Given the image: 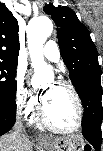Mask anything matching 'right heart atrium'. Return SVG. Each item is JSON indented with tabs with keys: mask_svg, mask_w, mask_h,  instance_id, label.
I'll return each instance as SVG.
<instances>
[{
	"mask_svg": "<svg viewBox=\"0 0 103 151\" xmlns=\"http://www.w3.org/2000/svg\"><path fill=\"white\" fill-rule=\"evenodd\" d=\"M15 104L17 109L26 116L32 115L36 107L34 98L30 95L20 76L16 78L15 82Z\"/></svg>",
	"mask_w": 103,
	"mask_h": 151,
	"instance_id": "d8ad5b80",
	"label": "right heart atrium"
}]
</instances>
